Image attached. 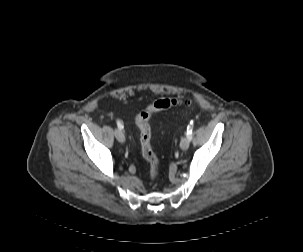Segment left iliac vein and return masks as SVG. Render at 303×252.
<instances>
[{
	"label": "left iliac vein",
	"mask_w": 303,
	"mask_h": 252,
	"mask_svg": "<svg viewBox=\"0 0 303 252\" xmlns=\"http://www.w3.org/2000/svg\"><path fill=\"white\" fill-rule=\"evenodd\" d=\"M190 138L188 136L184 137L180 142V147L182 150H187L190 145Z\"/></svg>",
	"instance_id": "1"
}]
</instances>
